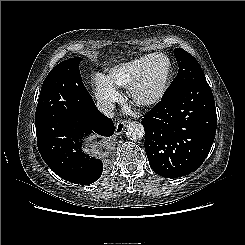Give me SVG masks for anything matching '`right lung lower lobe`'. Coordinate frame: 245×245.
<instances>
[{
  "label": "right lung lower lobe",
  "instance_id": "98d812e1",
  "mask_svg": "<svg viewBox=\"0 0 245 245\" xmlns=\"http://www.w3.org/2000/svg\"><path fill=\"white\" fill-rule=\"evenodd\" d=\"M38 150L47 165L61 178L75 184L97 181L102 162L82 152L81 139L91 133L111 136L113 122L93 102L88 115L78 118H44L35 120Z\"/></svg>",
  "mask_w": 245,
  "mask_h": 245
}]
</instances>
